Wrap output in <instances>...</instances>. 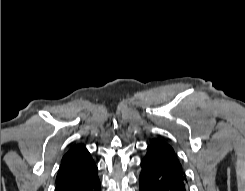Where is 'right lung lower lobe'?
<instances>
[{"label":"right lung lower lobe","mask_w":245,"mask_h":191,"mask_svg":"<svg viewBox=\"0 0 245 191\" xmlns=\"http://www.w3.org/2000/svg\"><path fill=\"white\" fill-rule=\"evenodd\" d=\"M55 191H101L97 167L94 165L86 172L56 184Z\"/></svg>","instance_id":"98d812e1"}]
</instances>
